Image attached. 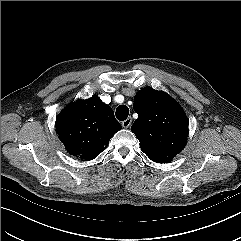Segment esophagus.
Returning a JSON list of instances; mask_svg holds the SVG:
<instances>
[{
    "label": "esophagus",
    "instance_id": "obj_1",
    "mask_svg": "<svg viewBox=\"0 0 241 241\" xmlns=\"http://www.w3.org/2000/svg\"><path fill=\"white\" fill-rule=\"evenodd\" d=\"M131 123H132V118L129 117L126 120L122 121L121 124L124 128H128V127H130Z\"/></svg>",
    "mask_w": 241,
    "mask_h": 241
}]
</instances>
